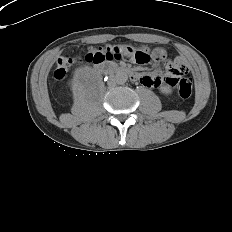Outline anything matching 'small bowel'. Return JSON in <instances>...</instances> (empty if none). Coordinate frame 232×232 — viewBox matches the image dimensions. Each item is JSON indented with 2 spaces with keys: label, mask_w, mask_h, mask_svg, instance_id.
Masks as SVG:
<instances>
[{
  "label": "small bowel",
  "mask_w": 232,
  "mask_h": 232,
  "mask_svg": "<svg viewBox=\"0 0 232 232\" xmlns=\"http://www.w3.org/2000/svg\"><path fill=\"white\" fill-rule=\"evenodd\" d=\"M174 66L179 69H186L185 63L181 58H176L174 61ZM169 77V73L167 74V78ZM141 83L146 87H156L161 84L162 79L157 73L152 74H144L140 78Z\"/></svg>",
  "instance_id": "c3829d8e"
}]
</instances>
